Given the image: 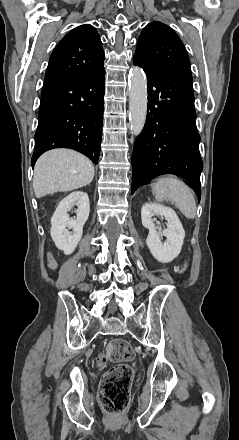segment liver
I'll use <instances>...</instances> for the list:
<instances>
[{
	"label": "liver",
	"mask_w": 239,
	"mask_h": 440,
	"mask_svg": "<svg viewBox=\"0 0 239 440\" xmlns=\"http://www.w3.org/2000/svg\"><path fill=\"white\" fill-rule=\"evenodd\" d=\"M94 166L88 158L74 150H49L37 160L33 190L36 198L53 192H71L84 188L94 178Z\"/></svg>",
	"instance_id": "obj_1"
}]
</instances>
